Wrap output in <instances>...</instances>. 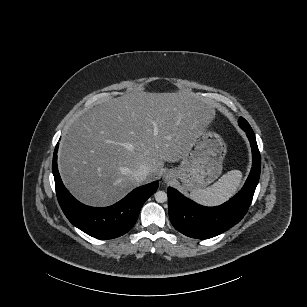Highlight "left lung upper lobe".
Returning <instances> with one entry per match:
<instances>
[{
    "mask_svg": "<svg viewBox=\"0 0 307 307\" xmlns=\"http://www.w3.org/2000/svg\"><path fill=\"white\" fill-rule=\"evenodd\" d=\"M239 125H243L247 128H250V125L248 124V122L242 117L239 118Z\"/></svg>",
    "mask_w": 307,
    "mask_h": 307,
    "instance_id": "5c2ea615",
    "label": "left lung upper lobe"
}]
</instances>
